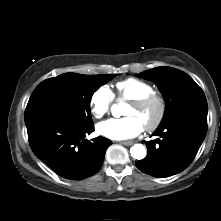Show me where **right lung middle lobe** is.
Wrapping results in <instances>:
<instances>
[{
  "label": "right lung middle lobe",
  "instance_id": "1",
  "mask_svg": "<svg viewBox=\"0 0 221 221\" xmlns=\"http://www.w3.org/2000/svg\"><path fill=\"white\" fill-rule=\"evenodd\" d=\"M115 75L65 73L40 83L25 109V123L38 117H56L78 127L93 125L90 101L93 93Z\"/></svg>",
  "mask_w": 221,
  "mask_h": 221
}]
</instances>
